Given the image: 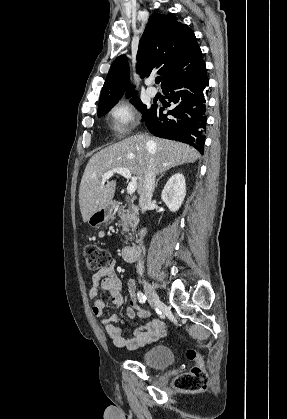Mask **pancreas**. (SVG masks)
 Here are the masks:
<instances>
[{"mask_svg":"<svg viewBox=\"0 0 287 419\" xmlns=\"http://www.w3.org/2000/svg\"><path fill=\"white\" fill-rule=\"evenodd\" d=\"M116 212L120 218V223L123 228L122 234L129 232V230L135 231L138 224L137 207L129 205L128 208H126V205H122L117 208Z\"/></svg>","mask_w":287,"mask_h":419,"instance_id":"cf45deb5","label":"pancreas"}]
</instances>
